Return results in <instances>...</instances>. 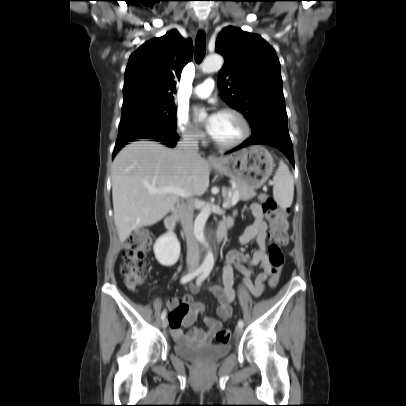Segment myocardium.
Instances as JSON below:
<instances>
[{"instance_id": "f54148a6", "label": "myocardium", "mask_w": 406, "mask_h": 406, "mask_svg": "<svg viewBox=\"0 0 406 406\" xmlns=\"http://www.w3.org/2000/svg\"><path fill=\"white\" fill-rule=\"evenodd\" d=\"M220 113H229V114L234 115L240 121V123L242 125V134L235 141L228 142V143L220 142V141L216 140L212 135H210L213 143L219 148L231 149V148H235V147L241 145L243 142H245L251 134V127H250L248 120L243 115V113H241L239 110L232 108V107H224L219 111V114Z\"/></svg>"}]
</instances>
